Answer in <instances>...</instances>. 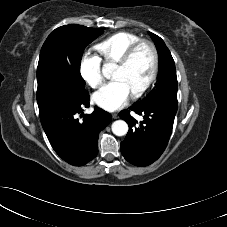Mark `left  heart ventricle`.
I'll return each mask as SVG.
<instances>
[{
	"label": "left heart ventricle",
	"instance_id": "obj_1",
	"mask_svg": "<svg viewBox=\"0 0 227 227\" xmlns=\"http://www.w3.org/2000/svg\"><path fill=\"white\" fill-rule=\"evenodd\" d=\"M152 69V54L147 46H142L128 66H116L112 78L122 81L130 93L136 92L147 81Z\"/></svg>",
	"mask_w": 227,
	"mask_h": 227
}]
</instances>
